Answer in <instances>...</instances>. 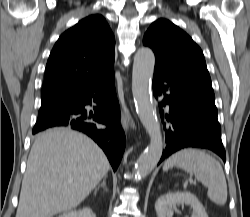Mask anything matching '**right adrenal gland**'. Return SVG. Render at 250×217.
<instances>
[{
	"label": "right adrenal gland",
	"instance_id": "obj_1",
	"mask_svg": "<svg viewBox=\"0 0 250 217\" xmlns=\"http://www.w3.org/2000/svg\"><path fill=\"white\" fill-rule=\"evenodd\" d=\"M100 187H103L105 189V191L108 190L107 187H106V177H104L103 182L100 185H98L97 188L95 189V195H96V193H97V191L99 190Z\"/></svg>",
	"mask_w": 250,
	"mask_h": 217
}]
</instances>
